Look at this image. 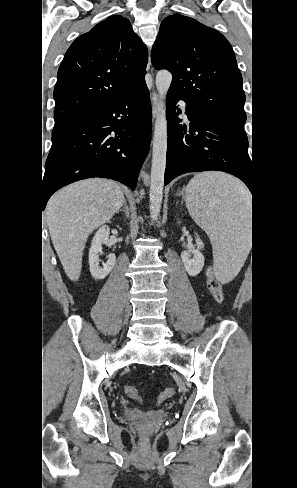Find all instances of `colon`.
<instances>
[{
  "instance_id": "5ec220e1",
  "label": "colon",
  "mask_w": 297,
  "mask_h": 488,
  "mask_svg": "<svg viewBox=\"0 0 297 488\" xmlns=\"http://www.w3.org/2000/svg\"><path fill=\"white\" fill-rule=\"evenodd\" d=\"M207 286L210 294L217 302H222L224 299V292L222 284L216 279L213 273V268L211 266L208 267L207 272ZM124 391L128 397L131 399L141 402L142 399L137 391V389L133 385H125ZM174 394V389L167 388L163 392H161L157 398V403H162L163 401L167 400Z\"/></svg>"
}]
</instances>
